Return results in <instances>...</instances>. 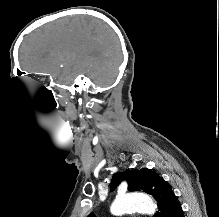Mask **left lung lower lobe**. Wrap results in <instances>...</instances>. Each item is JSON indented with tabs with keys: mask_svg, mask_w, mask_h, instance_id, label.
<instances>
[{
	"mask_svg": "<svg viewBox=\"0 0 219 217\" xmlns=\"http://www.w3.org/2000/svg\"><path fill=\"white\" fill-rule=\"evenodd\" d=\"M169 217H184L182 207L179 202L174 205Z\"/></svg>",
	"mask_w": 219,
	"mask_h": 217,
	"instance_id": "left-lung-lower-lobe-1",
	"label": "left lung lower lobe"
}]
</instances>
